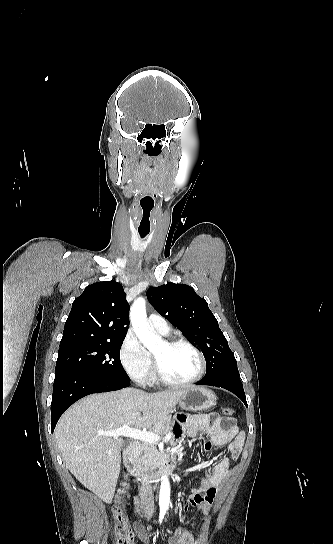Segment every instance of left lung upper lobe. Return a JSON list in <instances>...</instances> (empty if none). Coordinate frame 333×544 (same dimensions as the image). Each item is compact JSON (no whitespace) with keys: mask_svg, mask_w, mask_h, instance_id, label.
<instances>
[{"mask_svg":"<svg viewBox=\"0 0 333 544\" xmlns=\"http://www.w3.org/2000/svg\"><path fill=\"white\" fill-rule=\"evenodd\" d=\"M147 297L158 313L199 346L207 365L204 378L221 374L239 375L237 361L218 321L206 300L199 297L192 287L169 282L149 288Z\"/></svg>","mask_w":333,"mask_h":544,"instance_id":"obj_1","label":"left lung upper lobe"}]
</instances>
